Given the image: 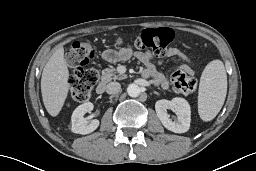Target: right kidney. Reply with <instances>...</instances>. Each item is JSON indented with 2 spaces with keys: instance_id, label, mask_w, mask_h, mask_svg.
<instances>
[{
  "instance_id": "ca27d5eb",
  "label": "right kidney",
  "mask_w": 256,
  "mask_h": 171,
  "mask_svg": "<svg viewBox=\"0 0 256 171\" xmlns=\"http://www.w3.org/2000/svg\"><path fill=\"white\" fill-rule=\"evenodd\" d=\"M93 108L94 105L91 102H85L73 111L71 117V130L73 133L85 135L97 129L99 126V120L94 119L88 122L87 119L83 117L84 114L90 113Z\"/></svg>"
}]
</instances>
